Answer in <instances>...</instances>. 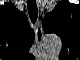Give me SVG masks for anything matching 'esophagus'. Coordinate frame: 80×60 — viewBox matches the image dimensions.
I'll return each mask as SVG.
<instances>
[{
	"instance_id": "34e87169",
	"label": "esophagus",
	"mask_w": 80,
	"mask_h": 60,
	"mask_svg": "<svg viewBox=\"0 0 80 60\" xmlns=\"http://www.w3.org/2000/svg\"><path fill=\"white\" fill-rule=\"evenodd\" d=\"M35 35H36V45H37V50H38V56L43 57L44 56V51L42 49L43 32H42V26H41L40 20H38L36 23Z\"/></svg>"
}]
</instances>
